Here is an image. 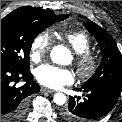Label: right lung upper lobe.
Wrapping results in <instances>:
<instances>
[{"instance_id":"cb5924a9","label":"right lung upper lobe","mask_w":122,"mask_h":122,"mask_svg":"<svg viewBox=\"0 0 122 122\" xmlns=\"http://www.w3.org/2000/svg\"><path fill=\"white\" fill-rule=\"evenodd\" d=\"M19 10L32 15L36 18H41V19H66L67 15H59L56 16L53 11L49 10L46 11L44 9L38 8V7H29V6H24L21 8H18Z\"/></svg>"}]
</instances>
